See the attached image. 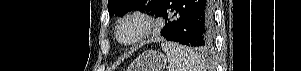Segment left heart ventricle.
Returning <instances> with one entry per match:
<instances>
[{
	"label": "left heart ventricle",
	"instance_id": "obj_1",
	"mask_svg": "<svg viewBox=\"0 0 301 71\" xmlns=\"http://www.w3.org/2000/svg\"><path fill=\"white\" fill-rule=\"evenodd\" d=\"M138 31V25L136 23H128L121 29V37L125 40L131 39Z\"/></svg>",
	"mask_w": 301,
	"mask_h": 71
}]
</instances>
